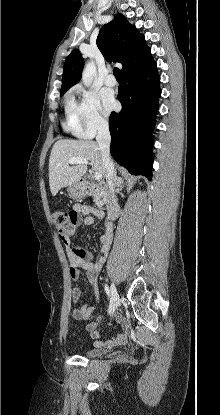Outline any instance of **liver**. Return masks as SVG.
<instances>
[{
    "instance_id": "1",
    "label": "liver",
    "mask_w": 220,
    "mask_h": 415,
    "mask_svg": "<svg viewBox=\"0 0 220 415\" xmlns=\"http://www.w3.org/2000/svg\"><path fill=\"white\" fill-rule=\"evenodd\" d=\"M74 157L90 161L92 170L105 177L102 153L98 143L92 140H58L53 145L49 158V185L53 196L61 188L79 182L85 175L87 171L85 164L69 166L68 160Z\"/></svg>"
}]
</instances>
